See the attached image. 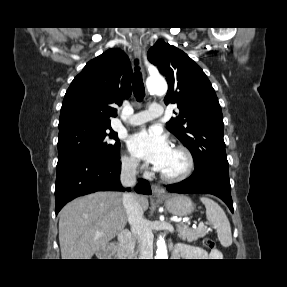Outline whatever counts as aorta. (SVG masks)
<instances>
[{"instance_id": "762f6f07", "label": "aorta", "mask_w": 287, "mask_h": 287, "mask_svg": "<svg viewBox=\"0 0 287 287\" xmlns=\"http://www.w3.org/2000/svg\"><path fill=\"white\" fill-rule=\"evenodd\" d=\"M147 88L150 92L165 94L167 91V84L164 79H150L147 81ZM156 259H168L167 247L162 235L157 241Z\"/></svg>"}]
</instances>
